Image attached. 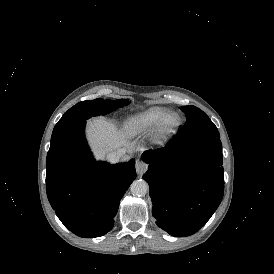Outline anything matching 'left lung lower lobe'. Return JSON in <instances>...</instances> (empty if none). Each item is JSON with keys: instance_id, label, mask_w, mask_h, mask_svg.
<instances>
[{"instance_id": "1", "label": "left lung lower lobe", "mask_w": 274, "mask_h": 274, "mask_svg": "<svg viewBox=\"0 0 274 274\" xmlns=\"http://www.w3.org/2000/svg\"><path fill=\"white\" fill-rule=\"evenodd\" d=\"M220 136L176 135L149 150L143 178L149 184L156 224L176 237L197 232L218 208L224 192Z\"/></svg>"}]
</instances>
